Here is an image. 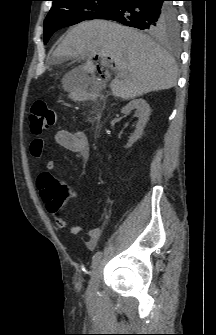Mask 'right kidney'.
Segmentation results:
<instances>
[{
  "label": "right kidney",
  "instance_id": "right-kidney-1",
  "mask_svg": "<svg viewBox=\"0 0 216 335\" xmlns=\"http://www.w3.org/2000/svg\"><path fill=\"white\" fill-rule=\"evenodd\" d=\"M134 109L136 110V115L138 116L139 120L136 124L135 132L130 137L129 142L126 145V148L132 147V145L140 138L151 112L150 106L144 99L132 100L125 107L122 108L121 112L123 114H126Z\"/></svg>",
  "mask_w": 216,
  "mask_h": 335
}]
</instances>
